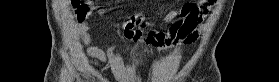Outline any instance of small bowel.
<instances>
[{
	"mask_svg": "<svg viewBox=\"0 0 279 82\" xmlns=\"http://www.w3.org/2000/svg\"><path fill=\"white\" fill-rule=\"evenodd\" d=\"M70 6L75 10L78 29L87 54L102 62H110L112 60V54L109 51L113 49V46H110L108 51H105L99 47L90 45L91 39L88 33L89 9L82 7L75 1H70ZM212 8L213 3L199 1L189 2L180 8L172 9L165 17V22L167 23V29L165 31L150 30L143 20H141V24L137 29H134L127 22L121 23L119 27L123 31L126 39L146 42L158 49L172 47L174 45H186L196 39L203 21ZM181 16L183 17V21L178 19Z\"/></svg>",
	"mask_w": 279,
	"mask_h": 82,
	"instance_id": "obj_1",
	"label": "small bowel"
}]
</instances>
